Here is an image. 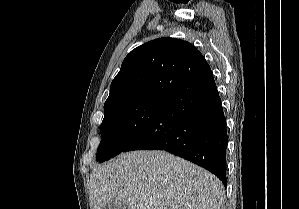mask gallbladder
Listing matches in <instances>:
<instances>
[{
    "label": "gallbladder",
    "instance_id": "1",
    "mask_svg": "<svg viewBox=\"0 0 299 209\" xmlns=\"http://www.w3.org/2000/svg\"><path fill=\"white\" fill-rule=\"evenodd\" d=\"M103 209H130V207L123 201L115 200L111 203H108Z\"/></svg>",
    "mask_w": 299,
    "mask_h": 209
}]
</instances>
